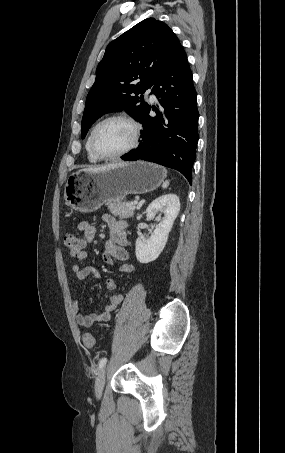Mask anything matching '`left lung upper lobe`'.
I'll list each match as a JSON object with an SVG mask.
<instances>
[{
	"instance_id": "left-lung-upper-lobe-1",
	"label": "left lung upper lobe",
	"mask_w": 285,
	"mask_h": 453,
	"mask_svg": "<svg viewBox=\"0 0 285 453\" xmlns=\"http://www.w3.org/2000/svg\"><path fill=\"white\" fill-rule=\"evenodd\" d=\"M179 44L173 31L155 18L141 21L112 41L87 95L82 138L98 118L111 111L126 109L127 114L140 120L148 103L138 95L154 85Z\"/></svg>"
}]
</instances>
